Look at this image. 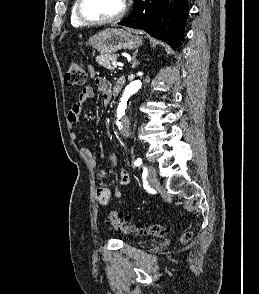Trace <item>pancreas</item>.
<instances>
[{"label":"pancreas","instance_id":"cf45deb5","mask_svg":"<svg viewBox=\"0 0 259 294\" xmlns=\"http://www.w3.org/2000/svg\"><path fill=\"white\" fill-rule=\"evenodd\" d=\"M117 55L114 54H101L96 57V62L105 67L108 70H114V67L112 66V62L117 60Z\"/></svg>","mask_w":259,"mask_h":294}]
</instances>
